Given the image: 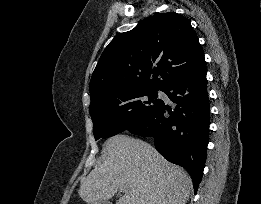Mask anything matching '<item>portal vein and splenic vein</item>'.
Instances as JSON below:
<instances>
[{"instance_id": "18ae733b", "label": "portal vein and splenic vein", "mask_w": 261, "mask_h": 204, "mask_svg": "<svg viewBox=\"0 0 261 204\" xmlns=\"http://www.w3.org/2000/svg\"><path fill=\"white\" fill-rule=\"evenodd\" d=\"M128 189V187H124V190H127Z\"/></svg>"}]
</instances>
